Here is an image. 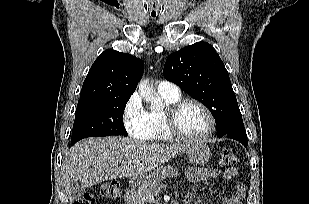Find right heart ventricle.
<instances>
[{"label":"right heart ventricle","instance_id":"1","mask_svg":"<svg viewBox=\"0 0 309 204\" xmlns=\"http://www.w3.org/2000/svg\"><path fill=\"white\" fill-rule=\"evenodd\" d=\"M160 96L162 100L164 101L166 107L181 98L180 94L178 95L160 94ZM165 109L150 110L146 112V123L149 129V133L146 137L147 140L170 141L173 139L172 136L167 131V128L165 125V121H164Z\"/></svg>","mask_w":309,"mask_h":204}]
</instances>
